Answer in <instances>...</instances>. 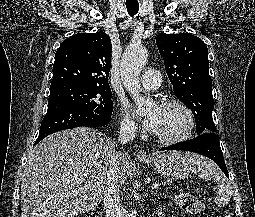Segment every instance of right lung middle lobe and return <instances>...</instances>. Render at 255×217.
Segmentation results:
<instances>
[{"label":"right lung middle lobe","instance_id":"right-lung-middle-lobe-1","mask_svg":"<svg viewBox=\"0 0 255 217\" xmlns=\"http://www.w3.org/2000/svg\"><path fill=\"white\" fill-rule=\"evenodd\" d=\"M48 105L69 103L102 115H111L113 101L110 87L62 84L50 87Z\"/></svg>","mask_w":255,"mask_h":217}]
</instances>
